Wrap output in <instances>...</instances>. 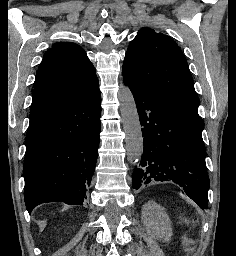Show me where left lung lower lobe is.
I'll return each mask as SVG.
<instances>
[{"instance_id":"left-lung-lower-lobe-1","label":"left lung lower lobe","mask_w":236,"mask_h":256,"mask_svg":"<svg viewBox=\"0 0 236 256\" xmlns=\"http://www.w3.org/2000/svg\"><path fill=\"white\" fill-rule=\"evenodd\" d=\"M123 80L136 102L144 144L140 167L132 175L133 188L173 181L207 209L209 177L202 139L204 122L198 111Z\"/></svg>"}]
</instances>
